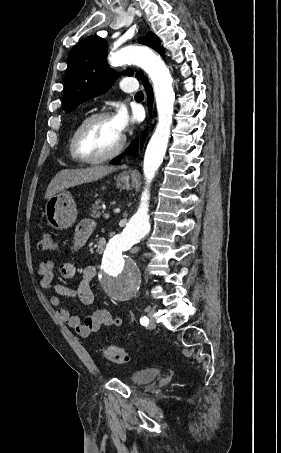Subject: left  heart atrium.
Returning a JSON list of instances; mask_svg holds the SVG:
<instances>
[{
  "label": "left heart atrium",
  "instance_id": "39dd6f15",
  "mask_svg": "<svg viewBox=\"0 0 281 453\" xmlns=\"http://www.w3.org/2000/svg\"><path fill=\"white\" fill-rule=\"evenodd\" d=\"M112 121L116 128L123 133L132 125L140 121V116L137 112H134L132 115L128 112L127 108L120 104L117 106L113 116Z\"/></svg>",
  "mask_w": 281,
  "mask_h": 453
}]
</instances>
